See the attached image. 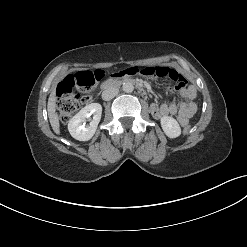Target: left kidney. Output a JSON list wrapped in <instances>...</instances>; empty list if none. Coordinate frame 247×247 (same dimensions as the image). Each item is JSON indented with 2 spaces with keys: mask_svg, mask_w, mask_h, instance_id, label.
Listing matches in <instances>:
<instances>
[{
  "mask_svg": "<svg viewBox=\"0 0 247 247\" xmlns=\"http://www.w3.org/2000/svg\"><path fill=\"white\" fill-rule=\"evenodd\" d=\"M161 122V127L164 131V133L169 137V138H176L180 136L181 134V128L173 117L170 116H163L160 120Z\"/></svg>",
  "mask_w": 247,
  "mask_h": 247,
  "instance_id": "obj_1",
  "label": "left kidney"
}]
</instances>
